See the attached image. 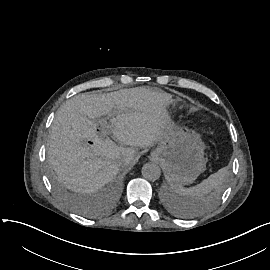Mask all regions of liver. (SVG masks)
<instances>
[{
    "mask_svg": "<svg viewBox=\"0 0 270 270\" xmlns=\"http://www.w3.org/2000/svg\"><path fill=\"white\" fill-rule=\"evenodd\" d=\"M172 102L170 94L145 87L68 99L57 111L47 148L58 181L78 193H96L124 165L133 164L135 147L153 146L160 140L170 120L163 110ZM103 115L110 118L120 145L98 137V118ZM85 140L93 144H84Z\"/></svg>",
    "mask_w": 270,
    "mask_h": 270,
    "instance_id": "liver-1",
    "label": "liver"
}]
</instances>
